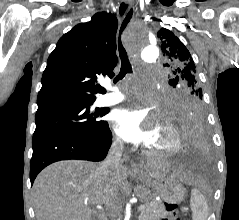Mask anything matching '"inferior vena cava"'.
Here are the masks:
<instances>
[{"label": "inferior vena cava", "mask_w": 239, "mask_h": 220, "mask_svg": "<svg viewBox=\"0 0 239 220\" xmlns=\"http://www.w3.org/2000/svg\"><path fill=\"white\" fill-rule=\"evenodd\" d=\"M124 146L119 140L113 141L107 157L101 164V170L106 174H112L119 168Z\"/></svg>", "instance_id": "obj_1"}]
</instances>
